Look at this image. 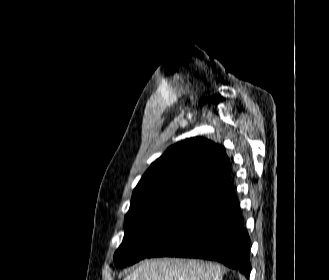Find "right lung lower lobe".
<instances>
[{
  "label": "right lung lower lobe",
  "instance_id": "obj_1",
  "mask_svg": "<svg viewBox=\"0 0 329 280\" xmlns=\"http://www.w3.org/2000/svg\"><path fill=\"white\" fill-rule=\"evenodd\" d=\"M249 236L243 227L233 183L226 182L149 257L214 260L249 278Z\"/></svg>",
  "mask_w": 329,
  "mask_h": 280
}]
</instances>
